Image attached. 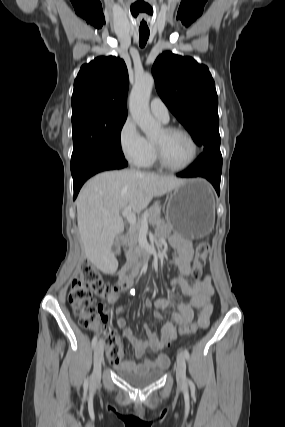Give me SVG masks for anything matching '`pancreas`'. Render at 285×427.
Masks as SVG:
<instances>
[{"instance_id": "obj_1", "label": "pancreas", "mask_w": 285, "mask_h": 427, "mask_svg": "<svg viewBox=\"0 0 285 427\" xmlns=\"http://www.w3.org/2000/svg\"><path fill=\"white\" fill-rule=\"evenodd\" d=\"M146 214L148 215L147 223L153 226L164 224V220L161 218V206L159 204H154L148 210L145 211V213L140 219H138L135 225L130 226L127 233V244L129 246L128 255H131L134 249L139 248L138 240L141 231V221Z\"/></svg>"}]
</instances>
